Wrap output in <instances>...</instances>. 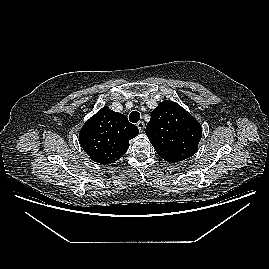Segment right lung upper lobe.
<instances>
[{"instance_id":"right-lung-upper-lobe-1","label":"right lung upper lobe","mask_w":269,"mask_h":269,"mask_svg":"<svg viewBox=\"0 0 269 269\" xmlns=\"http://www.w3.org/2000/svg\"><path fill=\"white\" fill-rule=\"evenodd\" d=\"M139 134L125 115L103 107L81 128V147L90 158L100 164H110L127 151L129 140Z\"/></svg>"}]
</instances>
